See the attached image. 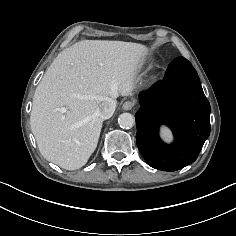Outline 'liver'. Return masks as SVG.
<instances>
[{"instance_id":"1","label":"liver","mask_w":236,"mask_h":236,"mask_svg":"<svg viewBox=\"0 0 236 236\" xmlns=\"http://www.w3.org/2000/svg\"><path fill=\"white\" fill-rule=\"evenodd\" d=\"M147 48L123 41L85 40L64 49L36 88L31 130L43 157L66 170L95 151L103 103L133 90Z\"/></svg>"}]
</instances>
